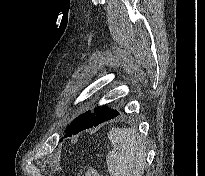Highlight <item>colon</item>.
Segmentation results:
<instances>
[{
	"instance_id": "obj_1",
	"label": "colon",
	"mask_w": 205,
	"mask_h": 176,
	"mask_svg": "<svg viewBox=\"0 0 205 176\" xmlns=\"http://www.w3.org/2000/svg\"><path fill=\"white\" fill-rule=\"evenodd\" d=\"M84 176H100V174H99V172L95 168L89 167L86 170Z\"/></svg>"
}]
</instances>
